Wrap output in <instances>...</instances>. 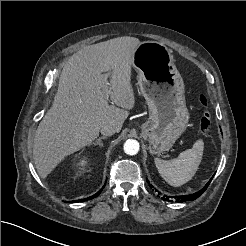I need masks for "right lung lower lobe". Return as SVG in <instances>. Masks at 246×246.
<instances>
[{"instance_id": "obj_1", "label": "right lung lower lobe", "mask_w": 246, "mask_h": 246, "mask_svg": "<svg viewBox=\"0 0 246 246\" xmlns=\"http://www.w3.org/2000/svg\"><path fill=\"white\" fill-rule=\"evenodd\" d=\"M103 188H104V186H103ZM103 188H101L100 191H98L95 195H93V196H91V197H88V198H85V199H81V200L71 201V203H74V202H81V201H87V200L93 199V198L97 197V196L101 193V191L103 190Z\"/></svg>"}]
</instances>
